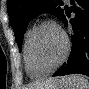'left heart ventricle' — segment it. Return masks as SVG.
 <instances>
[{
  "label": "left heart ventricle",
  "mask_w": 89,
  "mask_h": 89,
  "mask_svg": "<svg viewBox=\"0 0 89 89\" xmlns=\"http://www.w3.org/2000/svg\"><path fill=\"white\" fill-rule=\"evenodd\" d=\"M64 39L54 26H44L34 41V55L40 68L53 66L62 56Z\"/></svg>",
  "instance_id": "b2bd125f"
}]
</instances>
